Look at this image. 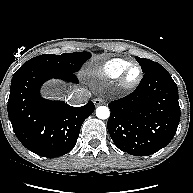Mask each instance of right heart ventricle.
<instances>
[{"label":"right heart ventricle","instance_id":"1","mask_svg":"<svg viewBox=\"0 0 193 193\" xmlns=\"http://www.w3.org/2000/svg\"><path fill=\"white\" fill-rule=\"evenodd\" d=\"M130 65V62L121 59L113 58L105 61L95 69V75L101 80H114L119 78L121 73Z\"/></svg>","mask_w":193,"mask_h":193}]
</instances>
